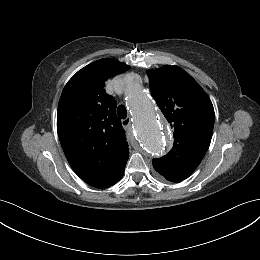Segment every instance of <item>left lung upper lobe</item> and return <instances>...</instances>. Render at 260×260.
<instances>
[{
  "mask_svg": "<svg viewBox=\"0 0 260 260\" xmlns=\"http://www.w3.org/2000/svg\"><path fill=\"white\" fill-rule=\"evenodd\" d=\"M151 95L174 130L171 151L152 164L162 177L184 180L199 166L213 132L214 108L206 92L183 69L148 70Z\"/></svg>",
  "mask_w": 260,
  "mask_h": 260,
  "instance_id": "5c2ea615",
  "label": "left lung upper lobe"
}]
</instances>
